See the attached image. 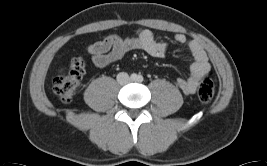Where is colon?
<instances>
[{"label": "colon", "mask_w": 267, "mask_h": 166, "mask_svg": "<svg viewBox=\"0 0 267 166\" xmlns=\"http://www.w3.org/2000/svg\"><path fill=\"white\" fill-rule=\"evenodd\" d=\"M85 62L82 58H73L65 71L56 76L53 80V91L58 98L64 102L69 103L75 96L79 87L80 81L85 73ZM214 97V82L208 75L202 77L199 88L198 98L204 103L208 104Z\"/></svg>", "instance_id": "colon-1"}]
</instances>
